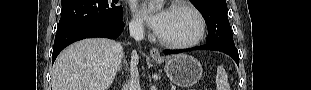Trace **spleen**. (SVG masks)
Listing matches in <instances>:
<instances>
[{
    "label": "spleen",
    "mask_w": 311,
    "mask_h": 90,
    "mask_svg": "<svg viewBox=\"0 0 311 90\" xmlns=\"http://www.w3.org/2000/svg\"><path fill=\"white\" fill-rule=\"evenodd\" d=\"M216 89L217 90H230V85L228 82V75L225 69L221 65L217 67Z\"/></svg>",
    "instance_id": "1"
}]
</instances>
